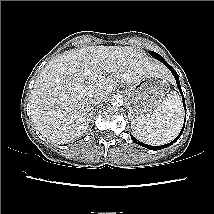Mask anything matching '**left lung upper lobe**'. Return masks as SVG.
Here are the masks:
<instances>
[{"instance_id":"5c2ea615","label":"left lung upper lobe","mask_w":214,"mask_h":214,"mask_svg":"<svg viewBox=\"0 0 214 214\" xmlns=\"http://www.w3.org/2000/svg\"><path fill=\"white\" fill-rule=\"evenodd\" d=\"M149 53H150L155 59H157V60H159V61L162 62L163 58H162L159 54H157V53L154 52V51H150Z\"/></svg>"}]
</instances>
